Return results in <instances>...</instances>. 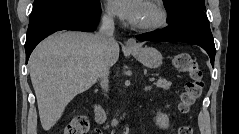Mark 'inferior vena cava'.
I'll return each mask as SVG.
<instances>
[{"label": "inferior vena cava", "mask_w": 239, "mask_h": 134, "mask_svg": "<svg viewBox=\"0 0 239 134\" xmlns=\"http://www.w3.org/2000/svg\"><path fill=\"white\" fill-rule=\"evenodd\" d=\"M115 29L114 16L107 10L102 17L101 27L97 34L99 47L95 54V76L100 80L104 92L109 90V74L111 67V47L115 43L113 32Z\"/></svg>", "instance_id": "602c4592"}]
</instances>
